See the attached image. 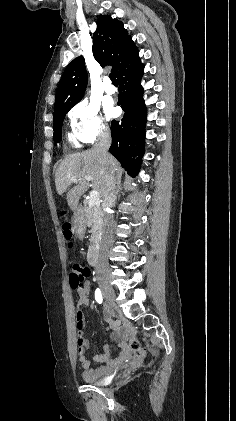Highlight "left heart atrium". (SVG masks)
Wrapping results in <instances>:
<instances>
[{
	"label": "left heart atrium",
	"mask_w": 236,
	"mask_h": 421,
	"mask_svg": "<svg viewBox=\"0 0 236 421\" xmlns=\"http://www.w3.org/2000/svg\"><path fill=\"white\" fill-rule=\"evenodd\" d=\"M105 109L111 117H115L118 114V110L113 106L112 102H108L105 106Z\"/></svg>",
	"instance_id": "left-heart-atrium-1"
}]
</instances>
